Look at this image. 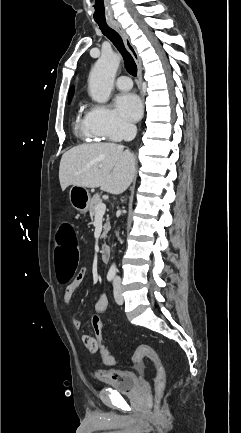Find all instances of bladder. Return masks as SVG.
Wrapping results in <instances>:
<instances>
[{"instance_id": "1", "label": "bladder", "mask_w": 241, "mask_h": 433, "mask_svg": "<svg viewBox=\"0 0 241 433\" xmlns=\"http://www.w3.org/2000/svg\"><path fill=\"white\" fill-rule=\"evenodd\" d=\"M97 379L104 386L112 388L122 393H129L139 386V377L133 371H100L97 373Z\"/></svg>"}]
</instances>
